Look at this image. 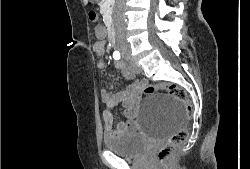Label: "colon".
I'll list each match as a JSON object with an SVG mask.
<instances>
[{
    "mask_svg": "<svg viewBox=\"0 0 250 169\" xmlns=\"http://www.w3.org/2000/svg\"><path fill=\"white\" fill-rule=\"evenodd\" d=\"M89 20L93 23L97 21V14L95 11L89 12ZM99 27L97 26L96 29ZM145 90L141 93L143 95H150L155 90H165V93H169L176 100L180 101V104H185L186 120H193L194 115V102L188 99L186 88H179L174 84L171 85H145ZM191 134L189 126H182L181 130H177L175 134H171L164 145H160V150H156V160L159 169H176L175 161H173L172 155H178V150H183V143L189 138Z\"/></svg>",
    "mask_w": 250,
    "mask_h": 169,
    "instance_id": "obj_1",
    "label": "colon"
}]
</instances>
